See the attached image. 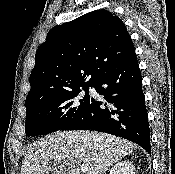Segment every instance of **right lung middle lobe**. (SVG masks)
<instances>
[{
	"label": "right lung middle lobe",
	"instance_id": "right-lung-middle-lobe-1",
	"mask_svg": "<svg viewBox=\"0 0 175 174\" xmlns=\"http://www.w3.org/2000/svg\"><path fill=\"white\" fill-rule=\"evenodd\" d=\"M88 87H83L84 97L81 95L82 90L79 87L26 105V135L28 137L46 135L63 129L75 120L90 103Z\"/></svg>",
	"mask_w": 175,
	"mask_h": 174
}]
</instances>
